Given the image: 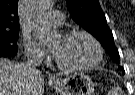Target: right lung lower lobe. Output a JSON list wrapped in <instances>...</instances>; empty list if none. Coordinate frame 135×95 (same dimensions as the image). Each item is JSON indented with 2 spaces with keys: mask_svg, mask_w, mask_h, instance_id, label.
Segmentation results:
<instances>
[{
  "mask_svg": "<svg viewBox=\"0 0 135 95\" xmlns=\"http://www.w3.org/2000/svg\"><path fill=\"white\" fill-rule=\"evenodd\" d=\"M17 54L16 52H8V53H0V57H12L15 56Z\"/></svg>",
  "mask_w": 135,
  "mask_h": 95,
  "instance_id": "1",
  "label": "right lung lower lobe"
}]
</instances>
